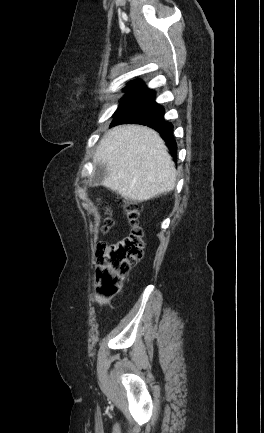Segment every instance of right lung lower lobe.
<instances>
[{
    "mask_svg": "<svg viewBox=\"0 0 264 433\" xmlns=\"http://www.w3.org/2000/svg\"><path fill=\"white\" fill-rule=\"evenodd\" d=\"M137 111L131 116L114 120L112 125L117 124H142L155 129L167 142L170 150L176 156L177 144L173 138V125L164 120V107L155 102V92L147 87L141 89Z\"/></svg>",
    "mask_w": 264,
    "mask_h": 433,
    "instance_id": "98d812e1",
    "label": "right lung lower lobe"
}]
</instances>
